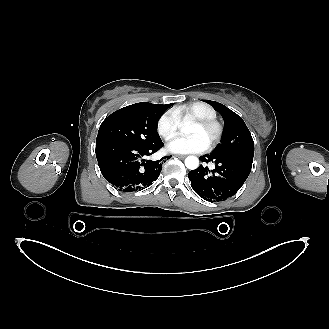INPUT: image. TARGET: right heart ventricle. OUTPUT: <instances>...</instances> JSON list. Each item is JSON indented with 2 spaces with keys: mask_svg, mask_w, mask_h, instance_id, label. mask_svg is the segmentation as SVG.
<instances>
[{
  "mask_svg": "<svg viewBox=\"0 0 329 329\" xmlns=\"http://www.w3.org/2000/svg\"><path fill=\"white\" fill-rule=\"evenodd\" d=\"M179 120L187 121L198 118H216L214 108L204 102H192L174 110Z\"/></svg>",
  "mask_w": 329,
  "mask_h": 329,
  "instance_id": "1",
  "label": "right heart ventricle"
}]
</instances>
